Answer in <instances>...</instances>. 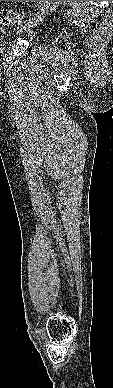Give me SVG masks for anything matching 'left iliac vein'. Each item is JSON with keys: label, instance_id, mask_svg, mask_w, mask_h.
<instances>
[{"label": "left iliac vein", "instance_id": "obj_1", "mask_svg": "<svg viewBox=\"0 0 113 388\" xmlns=\"http://www.w3.org/2000/svg\"><path fill=\"white\" fill-rule=\"evenodd\" d=\"M49 5L50 1H41V5L39 6V9L35 16L26 20L24 26L18 28L19 31H21L22 29H29L30 27L37 25L38 22L46 16Z\"/></svg>", "mask_w": 113, "mask_h": 388}]
</instances>
